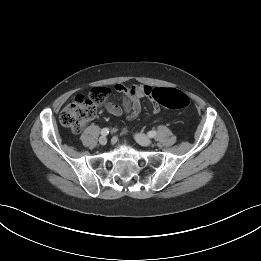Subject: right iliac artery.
Returning a JSON list of instances; mask_svg holds the SVG:
<instances>
[{"mask_svg":"<svg viewBox=\"0 0 261 261\" xmlns=\"http://www.w3.org/2000/svg\"><path fill=\"white\" fill-rule=\"evenodd\" d=\"M108 133H109V129L108 128H103L101 130V135H103V136H106Z\"/></svg>","mask_w":261,"mask_h":261,"instance_id":"right-iliac-artery-1","label":"right iliac artery"}]
</instances>
